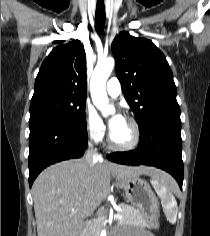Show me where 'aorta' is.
Returning a JSON list of instances; mask_svg holds the SVG:
<instances>
[{"instance_id":"762f6f07","label":"aorta","mask_w":210,"mask_h":236,"mask_svg":"<svg viewBox=\"0 0 210 236\" xmlns=\"http://www.w3.org/2000/svg\"><path fill=\"white\" fill-rule=\"evenodd\" d=\"M114 65L115 60L112 57L98 60L90 80L92 101L104 116L114 112V108L108 105V96L106 92V82ZM101 236L105 235L102 234Z\"/></svg>"}]
</instances>
